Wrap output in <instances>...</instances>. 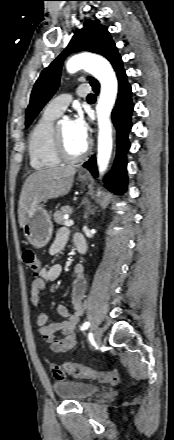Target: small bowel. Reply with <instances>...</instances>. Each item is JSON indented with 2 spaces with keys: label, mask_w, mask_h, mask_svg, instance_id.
<instances>
[{
  "label": "small bowel",
  "mask_w": 174,
  "mask_h": 440,
  "mask_svg": "<svg viewBox=\"0 0 174 440\" xmlns=\"http://www.w3.org/2000/svg\"><path fill=\"white\" fill-rule=\"evenodd\" d=\"M77 238L78 236L73 237L74 245ZM68 240V229L61 228L57 232L56 238L50 246L49 254L51 256L59 255L65 249ZM61 271L62 267L59 264L42 267L39 276L33 280L30 290V302L38 311L36 325L38 326L39 333L42 335L44 341L50 346L51 351L55 353H63L76 347L77 340L75 329L83 313L82 301L87 287L82 266H76L71 274L72 310L69 312L65 305L59 304L56 308V312L58 316L63 318V320L60 322L48 323V315L42 309L40 293L49 283H52L59 278ZM58 334H60V336H58ZM51 369L56 380H65V372L59 365L54 364Z\"/></svg>",
  "instance_id": "small-bowel-1"
}]
</instances>
